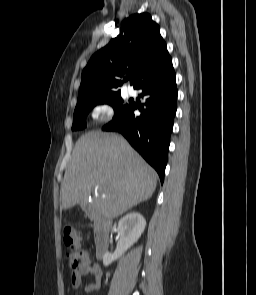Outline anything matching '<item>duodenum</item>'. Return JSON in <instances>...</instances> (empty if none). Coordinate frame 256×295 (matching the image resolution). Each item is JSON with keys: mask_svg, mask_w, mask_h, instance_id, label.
Returning a JSON list of instances; mask_svg holds the SVG:
<instances>
[{"mask_svg": "<svg viewBox=\"0 0 256 295\" xmlns=\"http://www.w3.org/2000/svg\"><path fill=\"white\" fill-rule=\"evenodd\" d=\"M84 210L95 224V246L97 254L101 257L109 245L110 225L108 218L100 214L96 207L91 204H85Z\"/></svg>", "mask_w": 256, "mask_h": 295, "instance_id": "duodenum-1", "label": "duodenum"}]
</instances>
